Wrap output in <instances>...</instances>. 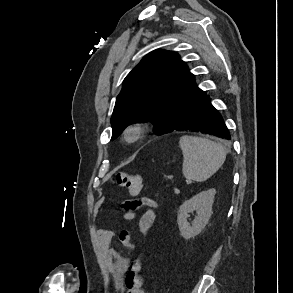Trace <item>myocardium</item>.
Listing matches in <instances>:
<instances>
[{
  "label": "myocardium",
  "instance_id": "obj_1",
  "mask_svg": "<svg viewBox=\"0 0 293 293\" xmlns=\"http://www.w3.org/2000/svg\"><path fill=\"white\" fill-rule=\"evenodd\" d=\"M144 127L139 123H133L127 126L124 131V137L129 142H136L142 138Z\"/></svg>",
  "mask_w": 293,
  "mask_h": 293
}]
</instances>
